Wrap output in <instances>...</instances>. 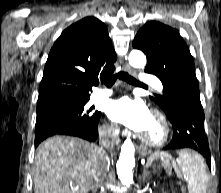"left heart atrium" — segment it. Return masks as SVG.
I'll list each match as a JSON object with an SVG mask.
<instances>
[{"instance_id":"39dd6f15","label":"left heart atrium","mask_w":221,"mask_h":193,"mask_svg":"<svg viewBox=\"0 0 221 193\" xmlns=\"http://www.w3.org/2000/svg\"><path fill=\"white\" fill-rule=\"evenodd\" d=\"M106 112L111 120L138 132L141 131L150 116V112L142 100L128 95L109 101Z\"/></svg>"}]
</instances>
